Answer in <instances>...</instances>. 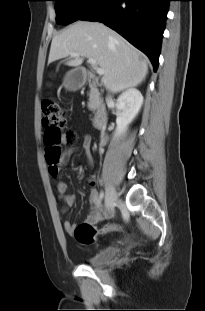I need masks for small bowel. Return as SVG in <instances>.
<instances>
[{"mask_svg": "<svg viewBox=\"0 0 205 311\" xmlns=\"http://www.w3.org/2000/svg\"><path fill=\"white\" fill-rule=\"evenodd\" d=\"M80 143H81V148L85 150L88 158V163L89 165L93 164L92 156L90 153V148H91V137L87 134L81 135L80 138ZM76 149L71 148L68 149L65 153L64 160L65 162L74 152ZM49 172L52 177L57 178L58 176V167H50ZM89 181L91 184H94V179L93 177L89 178ZM55 188L62 199L65 207L72 206L75 202V196L73 194H70L67 192V184L64 181L57 180L55 183ZM89 202L91 204V212L86 218V222L90 224H96L100 221L102 218V208L99 203V197H98V191L96 190L95 187H92L90 192H89ZM64 229L66 232L72 234L73 229L75 228V224L70 222V221H65L64 222Z\"/></svg>", "mask_w": 205, "mask_h": 311, "instance_id": "small-bowel-1", "label": "small bowel"}]
</instances>
